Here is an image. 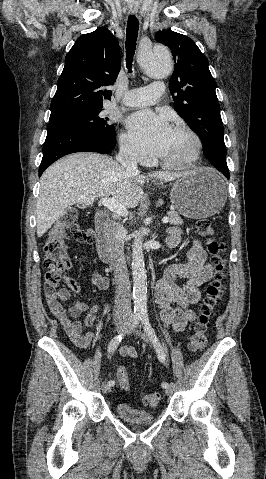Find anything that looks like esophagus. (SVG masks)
Instances as JSON below:
<instances>
[{
    "mask_svg": "<svg viewBox=\"0 0 266 479\" xmlns=\"http://www.w3.org/2000/svg\"><path fill=\"white\" fill-rule=\"evenodd\" d=\"M130 12H131V13H136V12H137V10H135V9H131V10H130Z\"/></svg>",
    "mask_w": 266,
    "mask_h": 479,
    "instance_id": "esophagus-1",
    "label": "esophagus"
}]
</instances>
